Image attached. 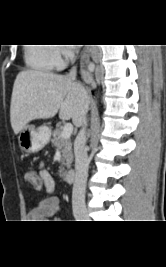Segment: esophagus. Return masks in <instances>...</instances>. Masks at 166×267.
Here are the masks:
<instances>
[{
	"label": "esophagus",
	"mask_w": 166,
	"mask_h": 267,
	"mask_svg": "<svg viewBox=\"0 0 166 267\" xmlns=\"http://www.w3.org/2000/svg\"><path fill=\"white\" fill-rule=\"evenodd\" d=\"M82 76H83V79L85 81H90V82L93 81L91 75L88 72H86L85 70L82 71Z\"/></svg>",
	"instance_id": "1"
}]
</instances>
